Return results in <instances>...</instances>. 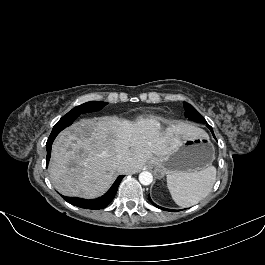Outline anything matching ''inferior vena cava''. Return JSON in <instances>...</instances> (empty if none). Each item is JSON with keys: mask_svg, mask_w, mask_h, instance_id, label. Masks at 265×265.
Returning <instances> with one entry per match:
<instances>
[{"mask_svg": "<svg viewBox=\"0 0 265 265\" xmlns=\"http://www.w3.org/2000/svg\"><path fill=\"white\" fill-rule=\"evenodd\" d=\"M124 164V156L123 154L117 155V166L120 167Z\"/></svg>", "mask_w": 265, "mask_h": 265, "instance_id": "1", "label": "inferior vena cava"}]
</instances>
